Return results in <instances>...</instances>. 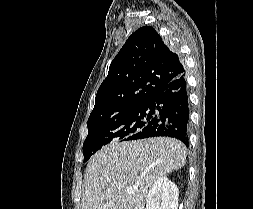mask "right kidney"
I'll return each mask as SVG.
<instances>
[{"label": "right kidney", "instance_id": "1", "mask_svg": "<svg viewBox=\"0 0 253 209\" xmlns=\"http://www.w3.org/2000/svg\"><path fill=\"white\" fill-rule=\"evenodd\" d=\"M146 203V209H177V186L166 176L159 177L150 188Z\"/></svg>", "mask_w": 253, "mask_h": 209}]
</instances>
